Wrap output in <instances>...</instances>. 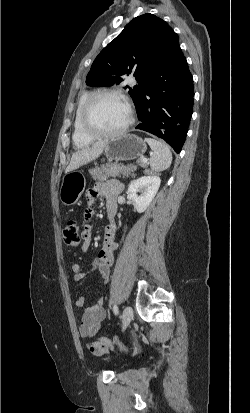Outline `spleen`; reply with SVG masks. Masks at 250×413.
I'll list each match as a JSON object with an SVG mask.
<instances>
[{
    "instance_id": "obj_1",
    "label": "spleen",
    "mask_w": 250,
    "mask_h": 413,
    "mask_svg": "<svg viewBox=\"0 0 250 413\" xmlns=\"http://www.w3.org/2000/svg\"><path fill=\"white\" fill-rule=\"evenodd\" d=\"M145 140L153 151L150 157L151 170L160 172L169 168L172 162L170 148L164 142L152 138H146Z\"/></svg>"
}]
</instances>
